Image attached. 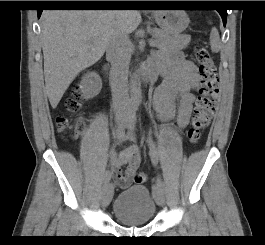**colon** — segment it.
I'll return each instance as SVG.
<instances>
[{
    "label": "colon",
    "mask_w": 265,
    "mask_h": 245,
    "mask_svg": "<svg viewBox=\"0 0 265 245\" xmlns=\"http://www.w3.org/2000/svg\"><path fill=\"white\" fill-rule=\"evenodd\" d=\"M195 59L201 78V88L187 133L189 141L193 144L201 139L204 129L208 126L215 112L216 100L219 94L217 68L210 53L204 47L197 46L195 47ZM81 99V90L78 87L74 88L70 98L66 102L68 111L73 114L79 112ZM57 125L61 129L72 131H79L83 128L81 120L71 124L70 120L65 116L57 118ZM147 178L148 176L145 172H140L135 175V182L143 183Z\"/></svg>",
    "instance_id": "colon-1"
}]
</instances>
